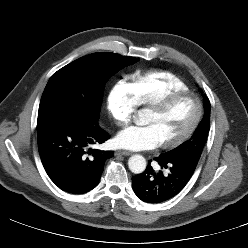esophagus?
Segmentation results:
<instances>
[{"mask_svg":"<svg viewBox=\"0 0 248 248\" xmlns=\"http://www.w3.org/2000/svg\"><path fill=\"white\" fill-rule=\"evenodd\" d=\"M115 155L129 156V155H131V152H129V151H123V150H118V151L115 152Z\"/></svg>","mask_w":248,"mask_h":248,"instance_id":"esophagus-1","label":"esophagus"}]
</instances>
